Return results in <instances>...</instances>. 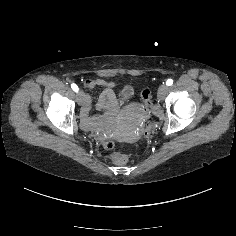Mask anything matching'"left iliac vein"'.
Returning a JSON list of instances; mask_svg holds the SVG:
<instances>
[{"instance_id": "obj_1", "label": "left iliac vein", "mask_w": 236, "mask_h": 236, "mask_svg": "<svg viewBox=\"0 0 236 236\" xmlns=\"http://www.w3.org/2000/svg\"><path fill=\"white\" fill-rule=\"evenodd\" d=\"M167 92L168 86L165 84L160 85L157 92L158 99H162L167 94Z\"/></svg>"}]
</instances>
